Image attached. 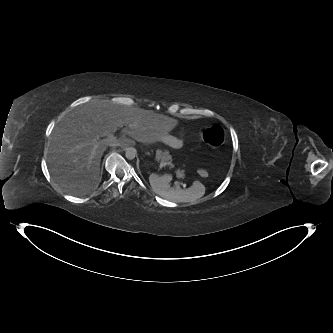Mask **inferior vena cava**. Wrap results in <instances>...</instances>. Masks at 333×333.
<instances>
[{
	"mask_svg": "<svg viewBox=\"0 0 333 333\" xmlns=\"http://www.w3.org/2000/svg\"><path fill=\"white\" fill-rule=\"evenodd\" d=\"M109 146H111V147H118L120 145L118 143H111V144H109Z\"/></svg>",
	"mask_w": 333,
	"mask_h": 333,
	"instance_id": "1",
	"label": "inferior vena cava"
}]
</instances>
